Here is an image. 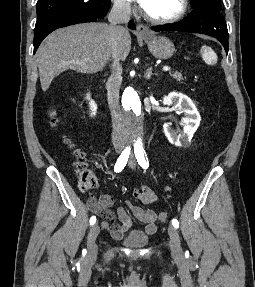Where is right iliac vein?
I'll list each match as a JSON object with an SVG mask.
<instances>
[{
  "instance_id": "obj_1",
  "label": "right iliac vein",
  "mask_w": 255,
  "mask_h": 287,
  "mask_svg": "<svg viewBox=\"0 0 255 287\" xmlns=\"http://www.w3.org/2000/svg\"><path fill=\"white\" fill-rule=\"evenodd\" d=\"M116 152L118 154H120L122 152V148H117ZM100 232V228L98 224H95L92 226V228L89 231L88 234V241H87V245H88V254H87V259L90 261L95 260L96 255H97V245L95 243L96 238L98 236Z\"/></svg>"
}]
</instances>
